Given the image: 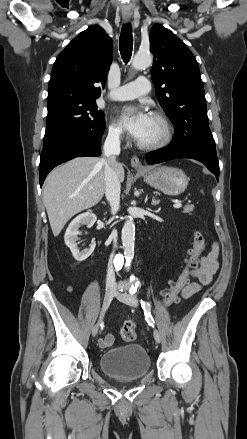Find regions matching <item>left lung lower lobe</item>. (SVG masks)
Returning a JSON list of instances; mask_svg holds the SVG:
<instances>
[{"instance_id": "obj_1", "label": "left lung lower lobe", "mask_w": 247, "mask_h": 439, "mask_svg": "<svg viewBox=\"0 0 247 439\" xmlns=\"http://www.w3.org/2000/svg\"><path fill=\"white\" fill-rule=\"evenodd\" d=\"M178 158H191L203 163L216 176L217 180L219 179V166L213 165L209 160L200 155L182 150L174 142L165 148L146 154L147 163L150 165Z\"/></svg>"}]
</instances>
